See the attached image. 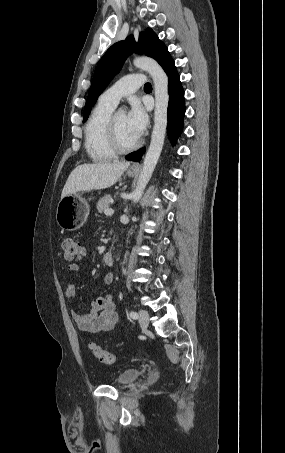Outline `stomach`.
<instances>
[{"label":"stomach","mask_w":285,"mask_h":453,"mask_svg":"<svg viewBox=\"0 0 285 453\" xmlns=\"http://www.w3.org/2000/svg\"><path fill=\"white\" fill-rule=\"evenodd\" d=\"M127 174L129 177H134L137 171L129 169ZM89 211L88 202L80 194H70L59 201L56 221L63 230L75 231L86 222Z\"/></svg>","instance_id":"0dacf381"}]
</instances>
